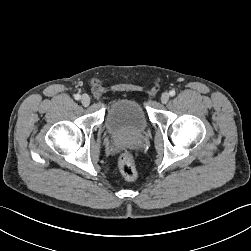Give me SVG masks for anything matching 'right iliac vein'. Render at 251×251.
<instances>
[{
    "mask_svg": "<svg viewBox=\"0 0 251 251\" xmlns=\"http://www.w3.org/2000/svg\"><path fill=\"white\" fill-rule=\"evenodd\" d=\"M81 103L84 106H88L90 104V97H89V95L83 94L82 97H81Z\"/></svg>",
    "mask_w": 251,
    "mask_h": 251,
    "instance_id": "right-iliac-vein-1",
    "label": "right iliac vein"
}]
</instances>
